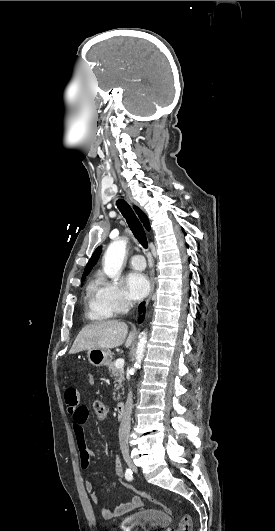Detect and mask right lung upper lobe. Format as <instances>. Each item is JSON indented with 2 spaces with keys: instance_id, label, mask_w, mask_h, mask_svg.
<instances>
[{
  "instance_id": "1",
  "label": "right lung upper lobe",
  "mask_w": 275,
  "mask_h": 531,
  "mask_svg": "<svg viewBox=\"0 0 275 531\" xmlns=\"http://www.w3.org/2000/svg\"><path fill=\"white\" fill-rule=\"evenodd\" d=\"M134 209H135L136 213L138 214L140 220L143 222V225L145 226V228L149 231L150 230V225H149V221H148L147 216L138 207L135 206ZM100 253H101V247H98L95 250V252L93 253V255L90 258V260L88 261V263H87V265L85 267L82 279L85 278V276L89 273V271L92 269L94 264L97 262Z\"/></svg>"
}]
</instances>
